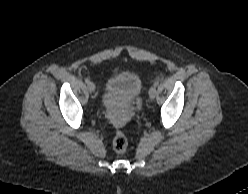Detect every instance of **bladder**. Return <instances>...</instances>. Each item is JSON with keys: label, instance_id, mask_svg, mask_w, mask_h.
<instances>
[{"label": "bladder", "instance_id": "obj_1", "mask_svg": "<svg viewBox=\"0 0 248 194\" xmlns=\"http://www.w3.org/2000/svg\"><path fill=\"white\" fill-rule=\"evenodd\" d=\"M142 87V80L138 74L124 71L108 80L105 92L109 96L126 95L131 98H136L141 93Z\"/></svg>", "mask_w": 248, "mask_h": 194}]
</instances>
